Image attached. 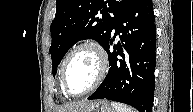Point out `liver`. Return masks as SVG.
Segmentation results:
<instances>
[{
    "mask_svg": "<svg viewBox=\"0 0 193 112\" xmlns=\"http://www.w3.org/2000/svg\"><path fill=\"white\" fill-rule=\"evenodd\" d=\"M93 101H77L73 103L66 104L60 108V112H77L87 106H89Z\"/></svg>",
    "mask_w": 193,
    "mask_h": 112,
    "instance_id": "1",
    "label": "liver"
}]
</instances>
